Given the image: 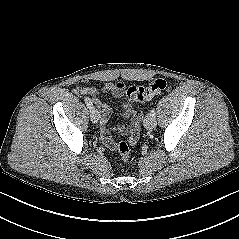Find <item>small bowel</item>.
<instances>
[{
    "label": "small bowel",
    "mask_w": 239,
    "mask_h": 239,
    "mask_svg": "<svg viewBox=\"0 0 239 239\" xmlns=\"http://www.w3.org/2000/svg\"><path fill=\"white\" fill-rule=\"evenodd\" d=\"M100 92L110 94L114 98H121L124 95L125 86L124 84L119 82H107L101 88L86 84L77 89L78 94L92 96L93 103L101 112L100 132L102 141L107 147L114 148L116 143L112 137V130L108 126V121L111 117L112 109L108 104L100 102V100L97 98ZM122 110V116L124 118L132 117V122L130 124L118 126L116 128V131L120 134L128 135L129 142L135 144L139 138V133L136 134L134 131V128L137 126L135 120L138 115L134 114L132 107L127 103L123 104Z\"/></svg>",
    "instance_id": "c3829d8e"
}]
</instances>
